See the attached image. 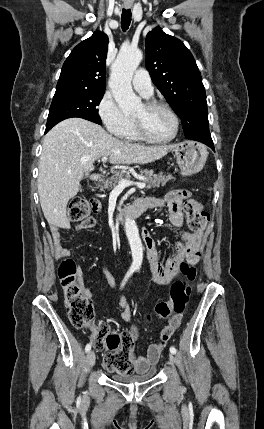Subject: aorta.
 Masks as SVG:
<instances>
[{"mask_svg":"<svg viewBox=\"0 0 264 429\" xmlns=\"http://www.w3.org/2000/svg\"><path fill=\"white\" fill-rule=\"evenodd\" d=\"M141 60L142 52L138 48L123 47L111 68L109 87L124 114L132 113L142 105L141 99L135 95L131 86L134 71ZM124 227L132 253L131 268L139 269L143 261V247L138 227L129 217L126 218Z\"/></svg>","mask_w":264,"mask_h":429,"instance_id":"obj_1","label":"aorta"}]
</instances>
